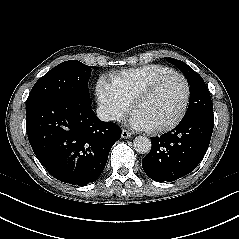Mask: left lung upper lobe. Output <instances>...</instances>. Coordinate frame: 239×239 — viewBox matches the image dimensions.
Wrapping results in <instances>:
<instances>
[{"label": "left lung upper lobe", "mask_w": 239, "mask_h": 239, "mask_svg": "<svg viewBox=\"0 0 239 239\" xmlns=\"http://www.w3.org/2000/svg\"><path fill=\"white\" fill-rule=\"evenodd\" d=\"M167 60L182 71L190 86V102L183 119L202 112L213 113V104L203 78L186 63L174 58Z\"/></svg>", "instance_id": "left-lung-upper-lobe-1"}]
</instances>
